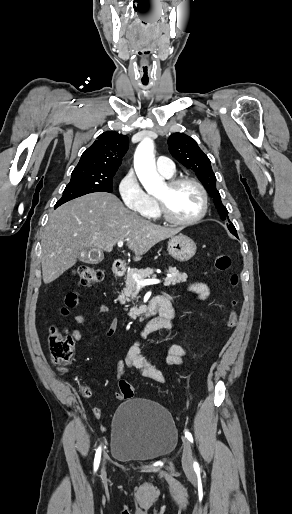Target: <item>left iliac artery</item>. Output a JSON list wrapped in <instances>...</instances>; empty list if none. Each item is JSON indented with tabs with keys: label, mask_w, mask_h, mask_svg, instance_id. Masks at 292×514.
Returning a JSON list of instances; mask_svg holds the SVG:
<instances>
[{
	"label": "left iliac artery",
	"mask_w": 292,
	"mask_h": 514,
	"mask_svg": "<svg viewBox=\"0 0 292 514\" xmlns=\"http://www.w3.org/2000/svg\"><path fill=\"white\" fill-rule=\"evenodd\" d=\"M185 436L186 438L191 442L193 443V437H192V434L189 432V431H185ZM194 469L197 470L199 469V465L198 463L195 461L194 462Z\"/></svg>",
	"instance_id": "obj_1"
}]
</instances>
